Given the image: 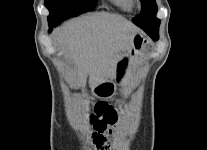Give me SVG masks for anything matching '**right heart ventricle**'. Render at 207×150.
<instances>
[{
  "instance_id": "right-heart-ventricle-1",
  "label": "right heart ventricle",
  "mask_w": 207,
  "mask_h": 150,
  "mask_svg": "<svg viewBox=\"0 0 207 150\" xmlns=\"http://www.w3.org/2000/svg\"><path fill=\"white\" fill-rule=\"evenodd\" d=\"M111 2L121 10L130 11L132 9V0H111Z\"/></svg>"
}]
</instances>
